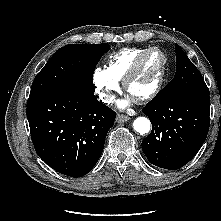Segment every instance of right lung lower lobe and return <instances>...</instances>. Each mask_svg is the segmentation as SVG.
<instances>
[{"label":"right lung lower lobe","instance_id":"1","mask_svg":"<svg viewBox=\"0 0 221 221\" xmlns=\"http://www.w3.org/2000/svg\"><path fill=\"white\" fill-rule=\"evenodd\" d=\"M115 117L92 91L49 92L27 101L36 152L51 168L71 177L84 176L95 166Z\"/></svg>","mask_w":221,"mask_h":221}]
</instances>
